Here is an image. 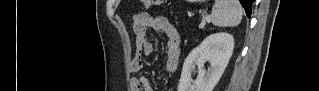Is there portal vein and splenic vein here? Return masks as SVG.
Here are the masks:
<instances>
[{"label":"portal vein and splenic vein","mask_w":319,"mask_h":91,"mask_svg":"<svg viewBox=\"0 0 319 91\" xmlns=\"http://www.w3.org/2000/svg\"><path fill=\"white\" fill-rule=\"evenodd\" d=\"M205 20H206V21H209V20H210V18H209V17H206V18H205Z\"/></svg>","instance_id":"18ae733b"}]
</instances>
